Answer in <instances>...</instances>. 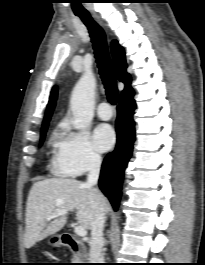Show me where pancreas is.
Instances as JSON below:
<instances>
[{
    "label": "pancreas",
    "instance_id": "pancreas-1",
    "mask_svg": "<svg viewBox=\"0 0 205 265\" xmlns=\"http://www.w3.org/2000/svg\"><path fill=\"white\" fill-rule=\"evenodd\" d=\"M79 258L77 256H74V260H78Z\"/></svg>",
    "mask_w": 205,
    "mask_h": 265
}]
</instances>
